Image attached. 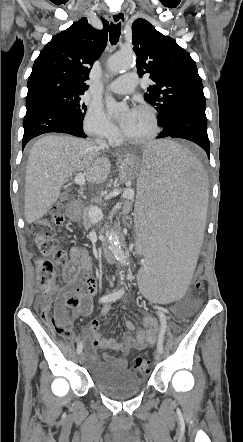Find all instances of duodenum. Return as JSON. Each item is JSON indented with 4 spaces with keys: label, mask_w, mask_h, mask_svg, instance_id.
I'll return each mask as SVG.
<instances>
[{
    "label": "duodenum",
    "mask_w": 243,
    "mask_h": 442,
    "mask_svg": "<svg viewBox=\"0 0 243 442\" xmlns=\"http://www.w3.org/2000/svg\"><path fill=\"white\" fill-rule=\"evenodd\" d=\"M78 207H79V201L78 200H72L70 202V205H69V212L76 214L77 210H78ZM103 256H104L105 260H107V261H111V260L114 259L113 252H112V249H111L110 246L106 245L104 247V249H103Z\"/></svg>",
    "instance_id": "1"
}]
</instances>
